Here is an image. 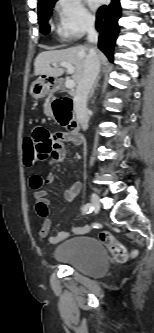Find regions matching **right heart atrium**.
I'll list each match as a JSON object with an SVG mask.
<instances>
[{
	"instance_id": "right-heart-atrium-1",
	"label": "right heart atrium",
	"mask_w": 154,
	"mask_h": 333,
	"mask_svg": "<svg viewBox=\"0 0 154 333\" xmlns=\"http://www.w3.org/2000/svg\"><path fill=\"white\" fill-rule=\"evenodd\" d=\"M55 10L57 34L64 41L78 39L94 26L83 0H58Z\"/></svg>"
}]
</instances>
